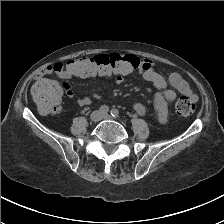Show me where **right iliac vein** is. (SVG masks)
<instances>
[{
    "label": "right iliac vein",
    "instance_id": "1",
    "mask_svg": "<svg viewBox=\"0 0 224 224\" xmlns=\"http://www.w3.org/2000/svg\"><path fill=\"white\" fill-rule=\"evenodd\" d=\"M91 120L94 122H98L102 119V114L100 111H94L91 116H90Z\"/></svg>",
    "mask_w": 224,
    "mask_h": 224
}]
</instances>
